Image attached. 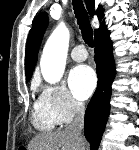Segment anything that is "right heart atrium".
<instances>
[{"mask_svg": "<svg viewBox=\"0 0 139 150\" xmlns=\"http://www.w3.org/2000/svg\"><path fill=\"white\" fill-rule=\"evenodd\" d=\"M41 96L47 101L61 124L71 122L84 111V105L74 99L63 85L45 86Z\"/></svg>", "mask_w": 139, "mask_h": 150, "instance_id": "right-heart-atrium-1", "label": "right heart atrium"}]
</instances>
